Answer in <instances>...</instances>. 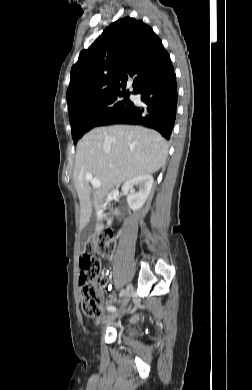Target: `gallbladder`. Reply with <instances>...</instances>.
I'll return each mask as SVG.
<instances>
[{
    "instance_id": "bac80fb5",
    "label": "gallbladder",
    "mask_w": 252,
    "mask_h": 390,
    "mask_svg": "<svg viewBox=\"0 0 252 390\" xmlns=\"http://www.w3.org/2000/svg\"><path fill=\"white\" fill-rule=\"evenodd\" d=\"M96 223H97V219L96 216L93 214L90 218V221L81 231L82 241H86L92 236L96 228Z\"/></svg>"
}]
</instances>
